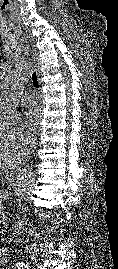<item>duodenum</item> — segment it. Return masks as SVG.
Instances as JSON below:
<instances>
[{"label": "duodenum", "instance_id": "obj_1", "mask_svg": "<svg viewBox=\"0 0 118 269\" xmlns=\"http://www.w3.org/2000/svg\"><path fill=\"white\" fill-rule=\"evenodd\" d=\"M25 227V221L22 218L16 219L10 226L13 233H18Z\"/></svg>", "mask_w": 118, "mask_h": 269}]
</instances>
